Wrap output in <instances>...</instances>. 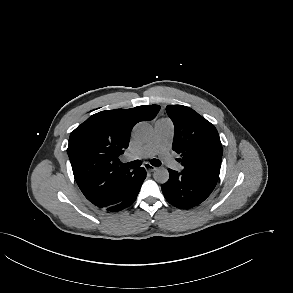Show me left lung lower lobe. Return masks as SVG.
Masks as SVG:
<instances>
[{
	"instance_id": "obj_1",
	"label": "left lung lower lobe",
	"mask_w": 293,
	"mask_h": 293,
	"mask_svg": "<svg viewBox=\"0 0 293 293\" xmlns=\"http://www.w3.org/2000/svg\"><path fill=\"white\" fill-rule=\"evenodd\" d=\"M169 180L163 184L162 192L166 200L181 209L197 206L213 191L217 179L182 170L180 173L168 169Z\"/></svg>"
}]
</instances>
